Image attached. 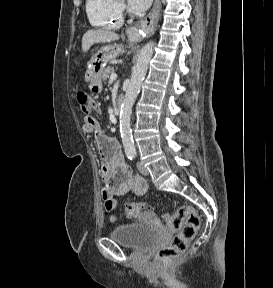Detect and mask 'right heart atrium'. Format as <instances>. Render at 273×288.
Masks as SVG:
<instances>
[{"mask_svg":"<svg viewBox=\"0 0 273 288\" xmlns=\"http://www.w3.org/2000/svg\"><path fill=\"white\" fill-rule=\"evenodd\" d=\"M119 7H120L121 12H123L125 10V7L122 3H119Z\"/></svg>","mask_w":273,"mask_h":288,"instance_id":"d8ad5b80","label":"right heart atrium"}]
</instances>
